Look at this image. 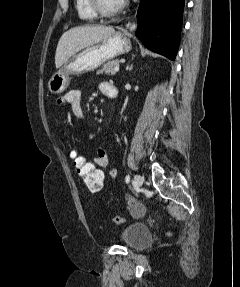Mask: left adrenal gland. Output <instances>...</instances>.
<instances>
[{
    "instance_id": "a2214340",
    "label": "left adrenal gland",
    "mask_w": 240,
    "mask_h": 287,
    "mask_svg": "<svg viewBox=\"0 0 240 287\" xmlns=\"http://www.w3.org/2000/svg\"><path fill=\"white\" fill-rule=\"evenodd\" d=\"M133 69V64L127 66V70L131 71Z\"/></svg>"
}]
</instances>
